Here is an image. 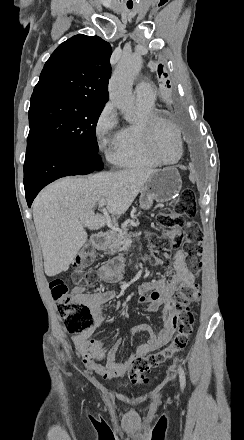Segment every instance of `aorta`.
Listing matches in <instances>:
<instances>
[{
	"mask_svg": "<svg viewBox=\"0 0 244 440\" xmlns=\"http://www.w3.org/2000/svg\"><path fill=\"white\" fill-rule=\"evenodd\" d=\"M142 66L139 55L125 56L118 63L110 81L109 97L114 105L124 114L126 120H130L134 109L132 85L135 76Z\"/></svg>",
	"mask_w": 244,
	"mask_h": 440,
	"instance_id": "obj_1",
	"label": "aorta"
}]
</instances>
